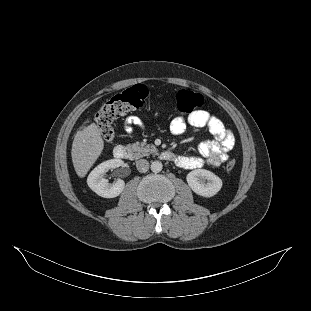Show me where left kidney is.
<instances>
[{
	"instance_id": "left-kidney-1",
	"label": "left kidney",
	"mask_w": 311,
	"mask_h": 311,
	"mask_svg": "<svg viewBox=\"0 0 311 311\" xmlns=\"http://www.w3.org/2000/svg\"><path fill=\"white\" fill-rule=\"evenodd\" d=\"M186 179L191 189L204 197L214 196L222 187V180L206 169L193 170L188 173Z\"/></svg>"
}]
</instances>
